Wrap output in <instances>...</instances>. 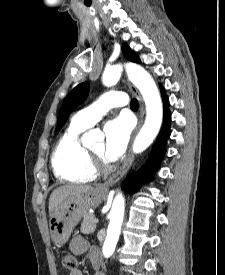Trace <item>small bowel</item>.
Instances as JSON below:
<instances>
[{
  "mask_svg": "<svg viewBox=\"0 0 225 275\" xmlns=\"http://www.w3.org/2000/svg\"><path fill=\"white\" fill-rule=\"evenodd\" d=\"M70 250L72 253L81 255L84 253H88L90 258L94 257L97 259V250L94 247H91L88 242L82 238L81 236L74 237L70 242ZM65 275H83L81 270L77 269L75 271H71ZM95 275H103L102 273H96Z\"/></svg>",
  "mask_w": 225,
  "mask_h": 275,
  "instance_id": "1",
  "label": "small bowel"
}]
</instances>
